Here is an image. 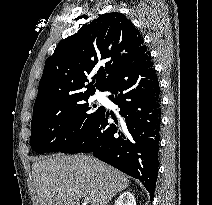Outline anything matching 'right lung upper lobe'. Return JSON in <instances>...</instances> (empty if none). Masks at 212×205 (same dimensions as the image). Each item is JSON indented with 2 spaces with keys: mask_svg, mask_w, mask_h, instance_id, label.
Wrapping results in <instances>:
<instances>
[{
  "mask_svg": "<svg viewBox=\"0 0 212 205\" xmlns=\"http://www.w3.org/2000/svg\"><path fill=\"white\" fill-rule=\"evenodd\" d=\"M146 52L142 34L125 15H100L60 41L47 59L33 111L72 103L93 95L96 88L104 91L121 69Z\"/></svg>",
  "mask_w": 212,
  "mask_h": 205,
  "instance_id": "right-lung-upper-lobe-1",
  "label": "right lung upper lobe"
}]
</instances>
